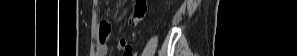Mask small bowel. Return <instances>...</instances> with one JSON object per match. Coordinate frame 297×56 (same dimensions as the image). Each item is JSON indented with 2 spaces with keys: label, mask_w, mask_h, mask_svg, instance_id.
I'll return each instance as SVG.
<instances>
[{
  "label": "small bowel",
  "mask_w": 297,
  "mask_h": 56,
  "mask_svg": "<svg viewBox=\"0 0 297 56\" xmlns=\"http://www.w3.org/2000/svg\"><path fill=\"white\" fill-rule=\"evenodd\" d=\"M130 46V41H128V36H122V40L119 41V48L124 50V56H132V51ZM107 45L100 41L96 47V54L98 56H105L107 54Z\"/></svg>",
  "instance_id": "obj_1"
}]
</instances>
